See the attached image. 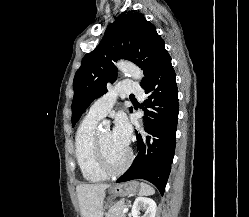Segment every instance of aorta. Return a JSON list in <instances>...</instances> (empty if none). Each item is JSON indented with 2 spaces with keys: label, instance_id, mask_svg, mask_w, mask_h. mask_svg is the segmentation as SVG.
Here are the masks:
<instances>
[{
  "label": "aorta",
  "instance_id": "obj_1",
  "mask_svg": "<svg viewBox=\"0 0 249 217\" xmlns=\"http://www.w3.org/2000/svg\"><path fill=\"white\" fill-rule=\"evenodd\" d=\"M116 67L118 68V70L130 74L134 79L139 80L143 77L141 69L131 62L119 61L116 64Z\"/></svg>",
  "mask_w": 249,
  "mask_h": 217
}]
</instances>
